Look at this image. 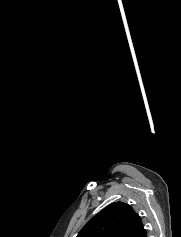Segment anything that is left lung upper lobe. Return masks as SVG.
I'll use <instances>...</instances> for the list:
<instances>
[{"label":"left lung upper lobe","mask_w":181,"mask_h":237,"mask_svg":"<svg viewBox=\"0 0 181 237\" xmlns=\"http://www.w3.org/2000/svg\"><path fill=\"white\" fill-rule=\"evenodd\" d=\"M140 216L123 202H114L80 230L77 237H142L145 233Z\"/></svg>","instance_id":"5c2ea615"}]
</instances>
